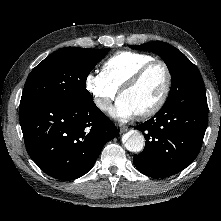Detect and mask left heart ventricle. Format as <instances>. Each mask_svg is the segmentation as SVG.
<instances>
[{"label":"left heart ventricle","instance_id":"obj_1","mask_svg":"<svg viewBox=\"0 0 221 221\" xmlns=\"http://www.w3.org/2000/svg\"><path fill=\"white\" fill-rule=\"evenodd\" d=\"M166 83V73L161 65L152 66L131 89L121 97L132 107L135 113L152 107L161 97Z\"/></svg>","mask_w":221,"mask_h":221}]
</instances>
